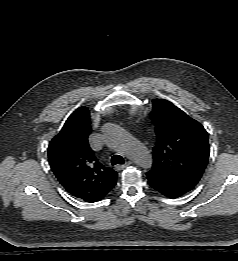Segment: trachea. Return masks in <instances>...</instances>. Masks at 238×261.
I'll use <instances>...</instances> for the list:
<instances>
[{
    "mask_svg": "<svg viewBox=\"0 0 238 261\" xmlns=\"http://www.w3.org/2000/svg\"><path fill=\"white\" fill-rule=\"evenodd\" d=\"M111 164L112 165H117V164H124V159L120 155H114L111 158Z\"/></svg>",
    "mask_w": 238,
    "mask_h": 261,
    "instance_id": "1",
    "label": "trachea"
}]
</instances>
